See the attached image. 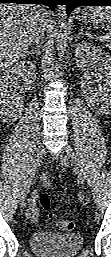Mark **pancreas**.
I'll use <instances>...</instances> for the list:
<instances>
[{
    "label": "pancreas",
    "instance_id": "1",
    "mask_svg": "<svg viewBox=\"0 0 111 257\" xmlns=\"http://www.w3.org/2000/svg\"><path fill=\"white\" fill-rule=\"evenodd\" d=\"M98 40L102 41V42H107V46L111 49V39L104 38V37H99Z\"/></svg>",
    "mask_w": 111,
    "mask_h": 257
}]
</instances>
